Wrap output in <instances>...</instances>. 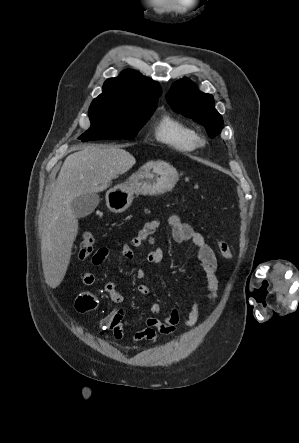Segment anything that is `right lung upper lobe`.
<instances>
[{
    "instance_id": "right-lung-upper-lobe-1",
    "label": "right lung upper lobe",
    "mask_w": 299,
    "mask_h": 443,
    "mask_svg": "<svg viewBox=\"0 0 299 443\" xmlns=\"http://www.w3.org/2000/svg\"><path fill=\"white\" fill-rule=\"evenodd\" d=\"M161 93L157 82L135 70H126L116 78L107 79L103 85V93L94 100L153 105L158 103Z\"/></svg>"
}]
</instances>
